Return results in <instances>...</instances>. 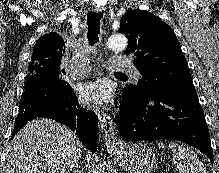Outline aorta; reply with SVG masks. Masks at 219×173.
Segmentation results:
<instances>
[{
  "label": "aorta",
  "instance_id": "1",
  "mask_svg": "<svg viewBox=\"0 0 219 173\" xmlns=\"http://www.w3.org/2000/svg\"><path fill=\"white\" fill-rule=\"evenodd\" d=\"M128 40L123 34H114L110 36L105 43L107 49L112 51H123L126 49Z\"/></svg>",
  "mask_w": 219,
  "mask_h": 173
}]
</instances>
